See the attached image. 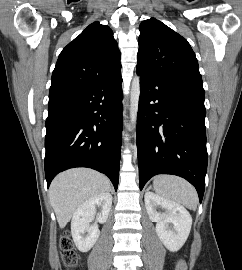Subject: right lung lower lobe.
<instances>
[{
  "label": "right lung lower lobe",
  "instance_id": "98d812e1",
  "mask_svg": "<svg viewBox=\"0 0 242 270\" xmlns=\"http://www.w3.org/2000/svg\"><path fill=\"white\" fill-rule=\"evenodd\" d=\"M121 70L74 93L49 100L45 176L89 167L118 187L122 142Z\"/></svg>",
  "mask_w": 242,
  "mask_h": 270
}]
</instances>
